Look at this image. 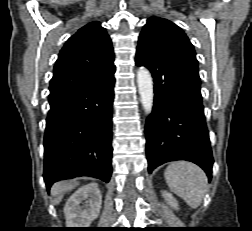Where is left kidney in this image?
<instances>
[{
    "label": "left kidney",
    "mask_w": 252,
    "mask_h": 231,
    "mask_svg": "<svg viewBox=\"0 0 252 231\" xmlns=\"http://www.w3.org/2000/svg\"><path fill=\"white\" fill-rule=\"evenodd\" d=\"M162 196L163 198L166 200V202L171 206L173 207L174 209H178V202L177 200L173 197L172 194L166 192V191H163L162 192Z\"/></svg>",
    "instance_id": "obj_1"
}]
</instances>
